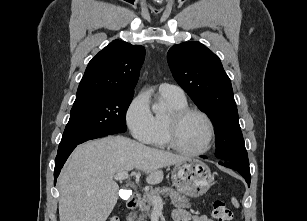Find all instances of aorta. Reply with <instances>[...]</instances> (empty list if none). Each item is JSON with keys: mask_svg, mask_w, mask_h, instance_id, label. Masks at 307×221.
Instances as JSON below:
<instances>
[{"mask_svg": "<svg viewBox=\"0 0 307 221\" xmlns=\"http://www.w3.org/2000/svg\"><path fill=\"white\" fill-rule=\"evenodd\" d=\"M152 110L156 113H161L164 111V106L159 104L152 105Z\"/></svg>", "mask_w": 307, "mask_h": 221, "instance_id": "obj_1", "label": "aorta"}]
</instances>
